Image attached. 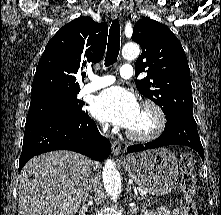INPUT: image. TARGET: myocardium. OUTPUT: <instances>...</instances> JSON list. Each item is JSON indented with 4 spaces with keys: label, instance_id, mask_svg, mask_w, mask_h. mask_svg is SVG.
<instances>
[{
    "label": "myocardium",
    "instance_id": "f54148a6",
    "mask_svg": "<svg viewBox=\"0 0 221 215\" xmlns=\"http://www.w3.org/2000/svg\"><path fill=\"white\" fill-rule=\"evenodd\" d=\"M142 109L149 110L154 117V127L146 133H136L127 129L126 135L129 139L137 142H149L158 138L164 131L166 126V116L162 108L152 100H144L141 103Z\"/></svg>",
    "mask_w": 221,
    "mask_h": 215
}]
</instances>
